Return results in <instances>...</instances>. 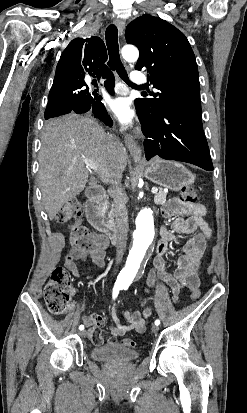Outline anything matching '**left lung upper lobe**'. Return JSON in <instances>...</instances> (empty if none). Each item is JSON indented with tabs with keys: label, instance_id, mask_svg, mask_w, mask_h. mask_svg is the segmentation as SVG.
<instances>
[{
	"label": "left lung upper lobe",
	"instance_id": "left-lung-upper-lobe-1",
	"mask_svg": "<svg viewBox=\"0 0 247 413\" xmlns=\"http://www.w3.org/2000/svg\"><path fill=\"white\" fill-rule=\"evenodd\" d=\"M125 37L140 51L135 69L145 68L157 89L135 100L141 119L152 120L169 109L201 116L198 68L185 35L159 17L143 15L128 24Z\"/></svg>",
	"mask_w": 247,
	"mask_h": 413
}]
</instances>
